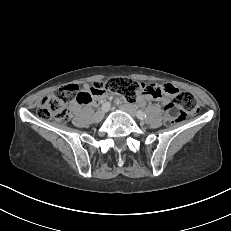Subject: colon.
I'll return each instance as SVG.
<instances>
[{
    "mask_svg": "<svg viewBox=\"0 0 231 231\" xmlns=\"http://www.w3.org/2000/svg\"><path fill=\"white\" fill-rule=\"evenodd\" d=\"M147 85L128 78L113 77L103 83L95 84L92 94H100L105 91L115 92L122 95L126 100L137 99L146 89ZM90 95L80 91L75 84H69L59 88L53 94L43 98L37 106V116L44 120H54L65 123L70 119V104L74 101L84 103ZM198 111L195 97L183 91H176L174 100L165 105V121L167 124H175L193 115Z\"/></svg>",
    "mask_w": 231,
    "mask_h": 231,
    "instance_id": "5ec220e1",
    "label": "colon"
}]
</instances>
